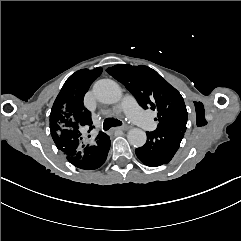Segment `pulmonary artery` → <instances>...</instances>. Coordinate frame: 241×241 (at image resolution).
I'll return each mask as SVG.
<instances>
[{"instance_id":"obj_1","label":"pulmonary artery","mask_w":241,"mask_h":241,"mask_svg":"<svg viewBox=\"0 0 241 241\" xmlns=\"http://www.w3.org/2000/svg\"><path fill=\"white\" fill-rule=\"evenodd\" d=\"M126 99L121 108H123L126 116L138 125L144 126L149 123L150 117L145 108L139 105L136 97L130 93H125Z\"/></svg>"}]
</instances>
